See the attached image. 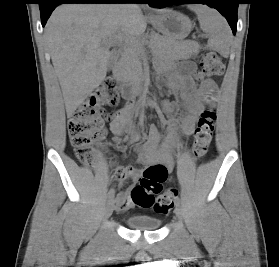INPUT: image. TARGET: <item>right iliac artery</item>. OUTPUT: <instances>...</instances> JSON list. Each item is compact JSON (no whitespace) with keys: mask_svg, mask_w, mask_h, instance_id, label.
Returning a JSON list of instances; mask_svg holds the SVG:
<instances>
[{"mask_svg":"<svg viewBox=\"0 0 279 267\" xmlns=\"http://www.w3.org/2000/svg\"><path fill=\"white\" fill-rule=\"evenodd\" d=\"M114 195H115V190L111 188L110 191L108 192V199L109 200L113 199Z\"/></svg>","mask_w":279,"mask_h":267,"instance_id":"obj_1","label":"right iliac artery"}]
</instances>
